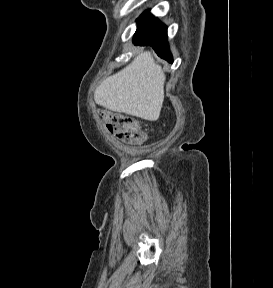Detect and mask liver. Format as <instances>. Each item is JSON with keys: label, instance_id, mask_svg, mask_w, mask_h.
<instances>
[{"label": "liver", "instance_id": "1", "mask_svg": "<svg viewBox=\"0 0 273 288\" xmlns=\"http://www.w3.org/2000/svg\"><path fill=\"white\" fill-rule=\"evenodd\" d=\"M165 79L151 53L142 51L96 88L94 100L110 111L157 121L164 101Z\"/></svg>", "mask_w": 273, "mask_h": 288}]
</instances>
